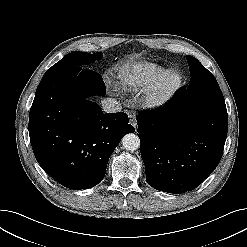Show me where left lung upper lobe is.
I'll return each mask as SVG.
<instances>
[{"instance_id": "1", "label": "left lung upper lobe", "mask_w": 247, "mask_h": 247, "mask_svg": "<svg viewBox=\"0 0 247 247\" xmlns=\"http://www.w3.org/2000/svg\"><path fill=\"white\" fill-rule=\"evenodd\" d=\"M187 61H188V65H189V69H190V73H191V79H190V83L192 82V80L200 77L202 75L203 72L208 71L205 67H203V65L193 56H186Z\"/></svg>"}]
</instances>
